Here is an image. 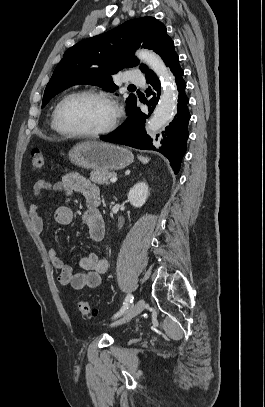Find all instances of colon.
<instances>
[{"instance_id":"1","label":"colon","mask_w":265,"mask_h":407,"mask_svg":"<svg viewBox=\"0 0 265 407\" xmlns=\"http://www.w3.org/2000/svg\"><path fill=\"white\" fill-rule=\"evenodd\" d=\"M31 168L33 171H41L44 168V157L40 150L36 149L32 152ZM77 308L84 318H94L97 314L91 304L84 300L77 302Z\"/></svg>"}]
</instances>
